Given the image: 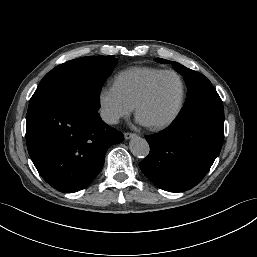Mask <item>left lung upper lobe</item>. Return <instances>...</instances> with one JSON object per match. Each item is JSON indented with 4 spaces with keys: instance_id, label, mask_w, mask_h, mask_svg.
Wrapping results in <instances>:
<instances>
[{
    "instance_id": "obj_1",
    "label": "left lung upper lobe",
    "mask_w": 257,
    "mask_h": 257,
    "mask_svg": "<svg viewBox=\"0 0 257 257\" xmlns=\"http://www.w3.org/2000/svg\"><path fill=\"white\" fill-rule=\"evenodd\" d=\"M159 63H171L173 68L184 76L188 88V98L182 112L191 111L207 102L220 99L218 93L207 77L185 66L161 58L155 59Z\"/></svg>"
}]
</instances>
